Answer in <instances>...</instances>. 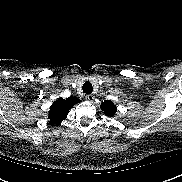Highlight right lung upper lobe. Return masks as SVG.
Segmentation results:
<instances>
[{"instance_id": "1", "label": "right lung upper lobe", "mask_w": 182, "mask_h": 182, "mask_svg": "<svg viewBox=\"0 0 182 182\" xmlns=\"http://www.w3.org/2000/svg\"><path fill=\"white\" fill-rule=\"evenodd\" d=\"M80 100L76 97L59 98L50 107L49 119L52 124H60L68 115L69 110Z\"/></svg>"}]
</instances>
